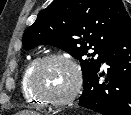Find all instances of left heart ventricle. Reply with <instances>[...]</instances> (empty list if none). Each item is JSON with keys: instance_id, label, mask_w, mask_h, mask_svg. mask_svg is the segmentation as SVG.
<instances>
[{"instance_id": "left-heart-ventricle-1", "label": "left heart ventricle", "mask_w": 131, "mask_h": 115, "mask_svg": "<svg viewBox=\"0 0 131 115\" xmlns=\"http://www.w3.org/2000/svg\"><path fill=\"white\" fill-rule=\"evenodd\" d=\"M37 88L51 98L66 96L74 85V72L64 61L53 60L46 63L36 79Z\"/></svg>"}]
</instances>
